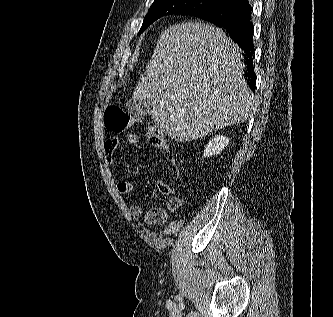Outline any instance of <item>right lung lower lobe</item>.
<instances>
[{
    "instance_id": "obj_1",
    "label": "right lung lower lobe",
    "mask_w": 333,
    "mask_h": 317,
    "mask_svg": "<svg viewBox=\"0 0 333 317\" xmlns=\"http://www.w3.org/2000/svg\"><path fill=\"white\" fill-rule=\"evenodd\" d=\"M252 8L248 0H239L234 3L224 4L214 10L205 11L194 16L209 21L222 28L247 55L248 73L246 79L248 85L255 91L256 75L253 69L252 54L253 26L251 24Z\"/></svg>"
}]
</instances>
